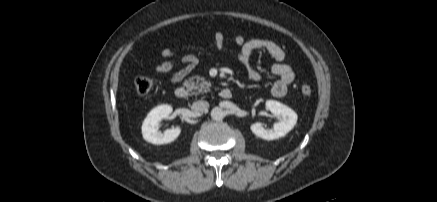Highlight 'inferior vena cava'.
Wrapping results in <instances>:
<instances>
[{"instance_id":"1","label":"inferior vena cava","mask_w":437,"mask_h":202,"mask_svg":"<svg viewBox=\"0 0 437 202\" xmlns=\"http://www.w3.org/2000/svg\"><path fill=\"white\" fill-rule=\"evenodd\" d=\"M208 107L209 103L207 101L199 100L192 104L191 109L195 115L200 116L208 110Z\"/></svg>"}]
</instances>
